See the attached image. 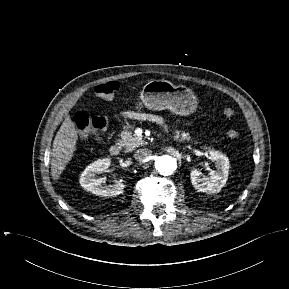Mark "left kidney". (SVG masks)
Masks as SVG:
<instances>
[{"instance_id":"obj_1","label":"left kidney","mask_w":289,"mask_h":289,"mask_svg":"<svg viewBox=\"0 0 289 289\" xmlns=\"http://www.w3.org/2000/svg\"><path fill=\"white\" fill-rule=\"evenodd\" d=\"M210 159L216 163L217 171L211 170L210 177H202V173L193 169L190 172L191 183L199 192L218 193L228 179L229 159L219 151L209 150Z\"/></svg>"}]
</instances>
